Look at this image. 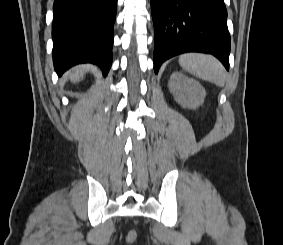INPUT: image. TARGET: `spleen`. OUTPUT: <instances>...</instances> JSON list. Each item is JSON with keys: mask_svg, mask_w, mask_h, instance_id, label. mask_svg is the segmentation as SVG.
I'll use <instances>...</instances> for the list:
<instances>
[{"mask_svg": "<svg viewBox=\"0 0 283 245\" xmlns=\"http://www.w3.org/2000/svg\"><path fill=\"white\" fill-rule=\"evenodd\" d=\"M180 66L189 73L223 87L226 72L223 65L213 56L200 53H186L179 57Z\"/></svg>", "mask_w": 283, "mask_h": 245, "instance_id": "3e777b00", "label": "spleen"}]
</instances>
